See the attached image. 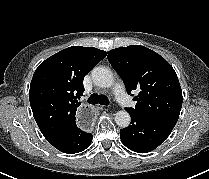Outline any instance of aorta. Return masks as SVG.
Here are the masks:
<instances>
[{"label": "aorta", "mask_w": 209, "mask_h": 179, "mask_svg": "<svg viewBox=\"0 0 209 179\" xmlns=\"http://www.w3.org/2000/svg\"><path fill=\"white\" fill-rule=\"evenodd\" d=\"M92 80L95 85L103 88H109L114 83L112 72L106 67H95L91 72ZM131 121L129 113L125 110L118 111L115 114V122L118 126L128 127Z\"/></svg>", "instance_id": "1"}]
</instances>
